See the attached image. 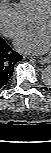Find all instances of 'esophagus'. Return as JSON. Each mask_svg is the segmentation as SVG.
<instances>
[{
    "instance_id": "esophagus-1",
    "label": "esophagus",
    "mask_w": 51,
    "mask_h": 153,
    "mask_svg": "<svg viewBox=\"0 0 51 153\" xmlns=\"http://www.w3.org/2000/svg\"><path fill=\"white\" fill-rule=\"evenodd\" d=\"M38 62L40 64H45V63H50L51 62V58L49 56L46 57H40Z\"/></svg>"
}]
</instances>
